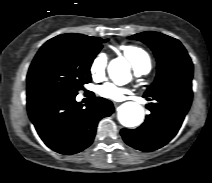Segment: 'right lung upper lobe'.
Returning <instances> with one entry per match:
<instances>
[{
    "mask_svg": "<svg viewBox=\"0 0 212 183\" xmlns=\"http://www.w3.org/2000/svg\"><path fill=\"white\" fill-rule=\"evenodd\" d=\"M64 36H71V37H85L86 35H81V34H74V33H71V34H62Z\"/></svg>",
    "mask_w": 212,
    "mask_h": 183,
    "instance_id": "obj_1",
    "label": "right lung upper lobe"
}]
</instances>
